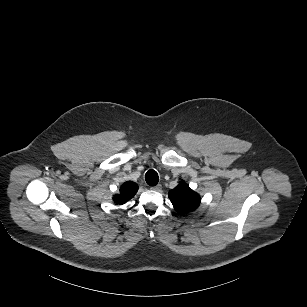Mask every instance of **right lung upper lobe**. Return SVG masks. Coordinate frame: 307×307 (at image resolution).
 I'll return each instance as SVG.
<instances>
[{"instance_id": "obj_1", "label": "right lung upper lobe", "mask_w": 307, "mask_h": 307, "mask_svg": "<svg viewBox=\"0 0 307 307\" xmlns=\"http://www.w3.org/2000/svg\"><path fill=\"white\" fill-rule=\"evenodd\" d=\"M138 185L132 181L125 182L120 188V194L113 197L117 204H124L131 199L137 192Z\"/></svg>"}]
</instances>
